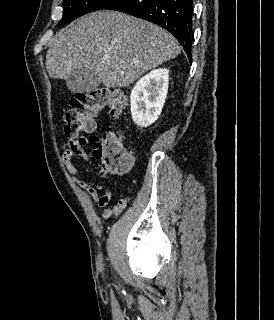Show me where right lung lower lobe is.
<instances>
[{"instance_id": "1", "label": "right lung lower lobe", "mask_w": 274, "mask_h": 320, "mask_svg": "<svg viewBox=\"0 0 274 320\" xmlns=\"http://www.w3.org/2000/svg\"><path fill=\"white\" fill-rule=\"evenodd\" d=\"M103 9L124 12L167 29L192 61V0H114Z\"/></svg>"}]
</instances>
